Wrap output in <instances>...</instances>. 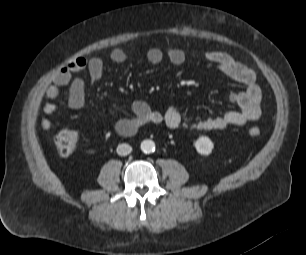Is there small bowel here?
<instances>
[{
    "mask_svg": "<svg viewBox=\"0 0 306 255\" xmlns=\"http://www.w3.org/2000/svg\"><path fill=\"white\" fill-rule=\"evenodd\" d=\"M146 58L153 65L160 64L166 58L171 64L181 66L186 61V53L177 47H169L165 51L152 47L148 49ZM203 58L221 73L245 86L243 90L233 92L229 96L230 102L237 105L239 110H230L204 119L187 120L175 106L158 112L152 110L144 101H135L132 104V116L116 123L117 132L121 135H131L149 123H162L171 129L223 130L229 126H242L259 119L262 92L256 83L255 72L238 58L224 51H207ZM110 59L114 63L122 64L127 60V54L123 49L115 48L110 52ZM83 71H87L92 80H100L105 73L104 61L100 57L74 58L53 75L52 83L46 89V96L54 100L59 96L60 88L68 87V106L75 110L81 109L85 104V82L79 74ZM55 111L54 103H47L43 108L47 116ZM41 126L44 130H49L52 122L49 118H44Z\"/></svg>",
    "mask_w": 306,
    "mask_h": 255,
    "instance_id": "c3829d8e",
    "label": "small bowel"
}]
</instances>
